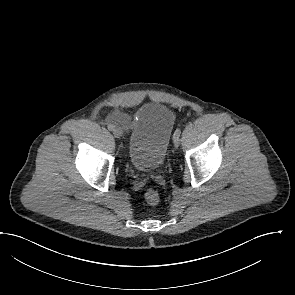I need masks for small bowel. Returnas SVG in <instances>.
<instances>
[{
    "instance_id": "small-bowel-1",
    "label": "small bowel",
    "mask_w": 295,
    "mask_h": 295,
    "mask_svg": "<svg viewBox=\"0 0 295 295\" xmlns=\"http://www.w3.org/2000/svg\"><path fill=\"white\" fill-rule=\"evenodd\" d=\"M113 121L122 127H127L129 124L128 118L123 114H116L113 116Z\"/></svg>"
}]
</instances>
